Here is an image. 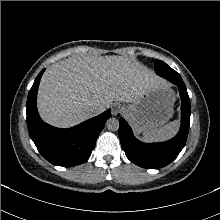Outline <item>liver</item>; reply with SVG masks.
I'll return each instance as SVG.
<instances>
[{
    "label": "liver",
    "mask_w": 220,
    "mask_h": 220,
    "mask_svg": "<svg viewBox=\"0 0 220 220\" xmlns=\"http://www.w3.org/2000/svg\"><path fill=\"white\" fill-rule=\"evenodd\" d=\"M161 82L153 71L128 57L77 55L44 72L37 106L45 122L68 128L90 118V105L104 111L113 101L135 102Z\"/></svg>",
    "instance_id": "1"
}]
</instances>
